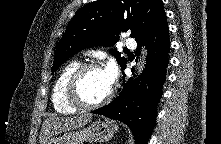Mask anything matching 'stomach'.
<instances>
[{"label": "stomach", "mask_w": 221, "mask_h": 144, "mask_svg": "<svg viewBox=\"0 0 221 144\" xmlns=\"http://www.w3.org/2000/svg\"><path fill=\"white\" fill-rule=\"evenodd\" d=\"M116 131H118L116 124L108 120H96L86 127L73 129L59 137H53L47 144H83L85 141L105 142L110 140Z\"/></svg>", "instance_id": "obj_1"}]
</instances>
